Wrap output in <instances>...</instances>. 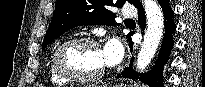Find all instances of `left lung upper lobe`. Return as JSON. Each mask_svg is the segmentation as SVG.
I'll return each mask as SVG.
<instances>
[{
    "label": "left lung upper lobe",
    "mask_w": 205,
    "mask_h": 87,
    "mask_svg": "<svg viewBox=\"0 0 205 87\" xmlns=\"http://www.w3.org/2000/svg\"><path fill=\"white\" fill-rule=\"evenodd\" d=\"M138 0H131L134 6ZM125 0H57L52 22L46 32L43 47L64 34L66 31L79 25H107L114 23L116 15L109 6L122 7ZM133 32L127 37L130 40Z\"/></svg>",
    "instance_id": "5c2ea615"
}]
</instances>
